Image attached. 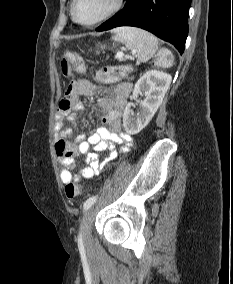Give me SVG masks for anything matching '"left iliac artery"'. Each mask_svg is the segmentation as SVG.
<instances>
[{
	"label": "left iliac artery",
	"instance_id": "obj_1",
	"mask_svg": "<svg viewBox=\"0 0 233 284\" xmlns=\"http://www.w3.org/2000/svg\"><path fill=\"white\" fill-rule=\"evenodd\" d=\"M96 200L97 196H92L88 198L83 205L84 211H87L96 202Z\"/></svg>",
	"mask_w": 233,
	"mask_h": 284
}]
</instances>
